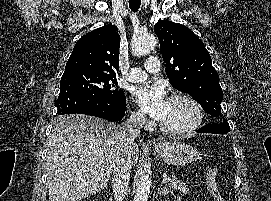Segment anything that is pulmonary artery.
<instances>
[{"label":"pulmonary artery","instance_id":"e3ab8cb5","mask_svg":"<svg viewBox=\"0 0 271 201\" xmlns=\"http://www.w3.org/2000/svg\"><path fill=\"white\" fill-rule=\"evenodd\" d=\"M160 71V62L157 57H149L145 63V70L132 68L126 75L130 82H141L148 78V74H157Z\"/></svg>","mask_w":271,"mask_h":201}]
</instances>
